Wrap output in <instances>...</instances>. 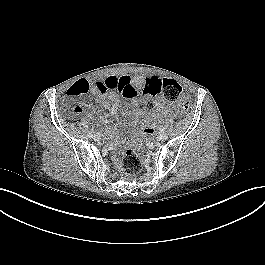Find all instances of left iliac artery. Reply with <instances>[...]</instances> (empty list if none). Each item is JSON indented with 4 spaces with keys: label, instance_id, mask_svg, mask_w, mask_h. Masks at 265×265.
Returning a JSON list of instances; mask_svg holds the SVG:
<instances>
[{
    "label": "left iliac artery",
    "instance_id": "44dca946",
    "mask_svg": "<svg viewBox=\"0 0 265 265\" xmlns=\"http://www.w3.org/2000/svg\"><path fill=\"white\" fill-rule=\"evenodd\" d=\"M159 130H160L161 132H164L165 127H164V126H160V127H159Z\"/></svg>",
    "mask_w": 265,
    "mask_h": 265
}]
</instances>
